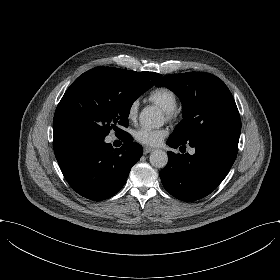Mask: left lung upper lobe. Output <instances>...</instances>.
<instances>
[{
	"mask_svg": "<svg viewBox=\"0 0 280 280\" xmlns=\"http://www.w3.org/2000/svg\"><path fill=\"white\" fill-rule=\"evenodd\" d=\"M181 100L183 120L170 135L186 143L214 134L240 135L241 121L234 98L218 77L203 72L170 74L156 85Z\"/></svg>",
	"mask_w": 280,
	"mask_h": 280,
	"instance_id": "obj_1",
	"label": "left lung upper lobe"
}]
</instances>
